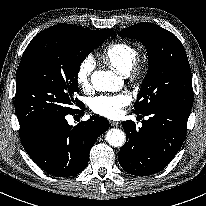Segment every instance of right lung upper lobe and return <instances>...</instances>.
Listing matches in <instances>:
<instances>
[{
  "instance_id": "right-lung-upper-lobe-1",
  "label": "right lung upper lobe",
  "mask_w": 206,
  "mask_h": 206,
  "mask_svg": "<svg viewBox=\"0 0 206 206\" xmlns=\"http://www.w3.org/2000/svg\"><path fill=\"white\" fill-rule=\"evenodd\" d=\"M63 25H66V26H69L71 28H74V29H77V30H80V31H83L85 33H93L97 30H89V29H86V28H83V27H79V26H75V25H68V24H63Z\"/></svg>"
}]
</instances>
